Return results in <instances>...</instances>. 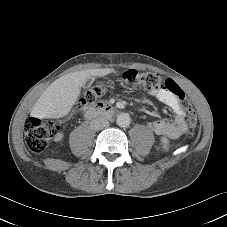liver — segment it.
Instances as JSON below:
<instances>
[{"mask_svg":"<svg viewBox=\"0 0 227 227\" xmlns=\"http://www.w3.org/2000/svg\"><path fill=\"white\" fill-rule=\"evenodd\" d=\"M114 69H87L62 76L52 82L41 94L32 108L31 115L37 118H61L66 116L75 105L81 87L91 77H103Z\"/></svg>","mask_w":227,"mask_h":227,"instance_id":"liver-1","label":"liver"}]
</instances>
